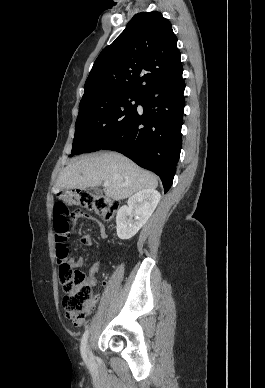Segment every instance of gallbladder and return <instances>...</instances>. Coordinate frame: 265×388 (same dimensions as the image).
<instances>
[{
  "mask_svg": "<svg viewBox=\"0 0 265 388\" xmlns=\"http://www.w3.org/2000/svg\"><path fill=\"white\" fill-rule=\"evenodd\" d=\"M95 190H97V192H101V190H98V188H95Z\"/></svg>",
  "mask_w": 265,
  "mask_h": 388,
  "instance_id": "gallbladder-1",
  "label": "gallbladder"
}]
</instances>
